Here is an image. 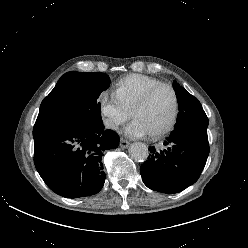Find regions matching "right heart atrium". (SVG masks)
Here are the masks:
<instances>
[{"label":"right heart atrium","mask_w":248,"mask_h":248,"mask_svg":"<svg viewBox=\"0 0 248 248\" xmlns=\"http://www.w3.org/2000/svg\"><path fill=\"white\" fill-rule=\"evenodd\" d=\"M97 103L105 125L111 130H118L130 116L113 93L102 92Z\"/></svg>","instance_id":"d8ad5b80"}]
</instances>
